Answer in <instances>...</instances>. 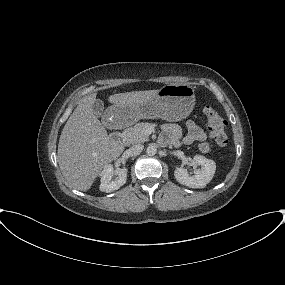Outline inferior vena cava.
Here are the masks:
<instances>
[{
    "mask_svg": "<svg viewBox=\"0 0 285 285\" xmlns=\"http://www.w3.org/2000/svg\"><path fill=\"white\" fill-rule=\"evenodd\" d=\"M144 149V146L142 144H137V145H133L132 147H130L129 149V153L132 155V156H137V155H140L141 152L143 151Z\"/></svg>",
    "mask_w": 285,
    "mask_h": 285,
    "instance_id": "inferior-vena-cava-1",
    "label": "inferior vena cava"
}]
</instances>
